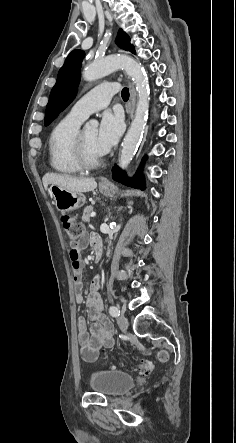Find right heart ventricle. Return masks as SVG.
Returning <instances> with one entry per match:
<instances>
[{
    "mask_svg": "<svg viewBox=\"0 0 236 443\" xmlns=\"http://www.w3.org/2000/svg\"><path fill=\"white\" fill-rule=\"evenodd\" d=\"M81 122L82 119L68 114L52 129L48 153L53 170L62 174H76L81 171L73 154V142Z\"/></svg>",
    "mask_w": 236,
    "mask_h": 443,
    "instance_id": "e07e8e85",
    "label": "right heart ventricle"
}]
</instances>
